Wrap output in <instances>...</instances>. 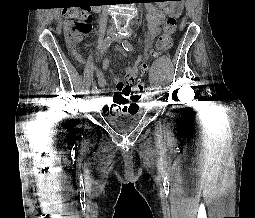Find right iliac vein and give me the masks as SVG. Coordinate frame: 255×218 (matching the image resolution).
<instances>
[{"mask_svg": "<svg viewBox=\"0 0 255 218\" xmlns=\"http://www.w3.org/2000/svg\"><path fill=\"white\" fill-rule=\"evenodd\" d=\"M95 97H97L98 91L93 93Z\"/></svg>", "mask_w": 255, "mask_h": 218, "instance_id": "obj_1", "label": "right iliac vein"}]
</instances>
